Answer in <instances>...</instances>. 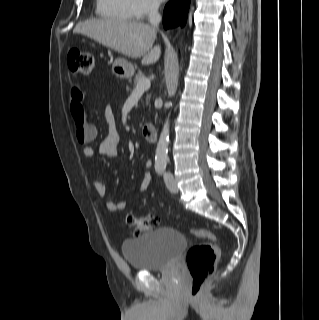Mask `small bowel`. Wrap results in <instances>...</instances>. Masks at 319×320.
Masks as SVG:
<instances>
[{
  "mask_svg": "<svg viewBox=\"0 0 319 320\" xmlns=\"http://www.w3.org/2000/svg\"><path fill=\"white\" fill-rule=\"evenodd\" d=\"M70 110L74 120L84 121L85 125L92 129L94 137L97 135V130L94 125H92L86 118L84 102L85 94L78 87H75L71 90L70 96ZM105 119L107 123V133L103 137L102 141L99 144L98 153L100 155L112 158L116 157L118 154V149L121 142V136L118 130L116 129L115 116L111 107L107 106L105 108ZM83 155L86 159H93L95 157V150L91 146H85L83 148ZM151 166L150 161L144 163V168L147 170ZM93 188L98 196L104 197L106 195V187L104 183L98 178L93 179ZM150 184L149 174L144 173L142 181L137 188V192H145L148 190ZM105 208L109 212H122L126 209V202L119 201L114 202L112 200L105 201Z\"/></svg>",
  "mask_w": 319,
  "mask_h": 320,
  "instance_id": "small-bowel-1",
  "label": "small bowel"
}]
</instances>
